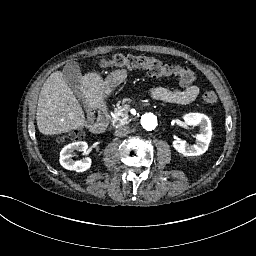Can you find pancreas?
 Instances as JSON below:
<instances>
[{"label":"pancreas","mask_w":256,"mask_h":256,"mask_svg":"<svg viewBox=\"0 0 256 256\" xmlns=\"http://www.w3.org/2000/svg\"><path fill=\"white\" fill-rule=\"evenodd\" d=\"M127 101L129 100L124 99L122 102V105L119 106L118 108H115L114 110L115 117H110L112 126L117 127L129 122L128 112L130 110V105L126 104Z\"/></svg>","instance_id":"1"}]
</instances>
